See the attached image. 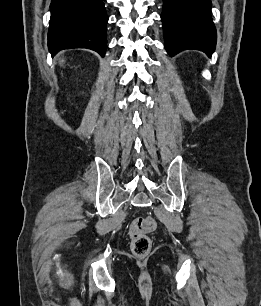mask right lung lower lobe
Segmentation results:
<instances>
[{
  "mask_svg": "<svg viewBox=\"0 0 261 306\" xmlns=\"http://www.w3.org/2000/svg\"><path fill=\"white\" fill-rule=\"evenodd\" d=\"M105 0H52L48 47L52 55L63 49L87 48L106 52L108 16Z\"/></svg>",
  "mask_w": 261,
  "mask_h": 306,
  "instance_id": "98d812e1",
  "label": "right lung lower lobe"
}]
</instances>
